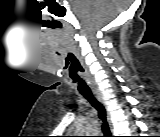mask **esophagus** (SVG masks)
Wrapping results in <instances>:
<instances>
[{"label": "esophagus", "instance_id": "esophagus-1", "mask_svg": "<svg viewBox=\"0 0 160 137\" xmlns=\"http://www.w3.org/2000/svg\"><path fill=\"white\" fill-rule=\"evenodd\" d=\"M94 94H95L97 100H98L104 107H106L101 93L95 92ZM107 121H108L109 127L112 128V124H111L110 116H109V113H108V112H107Z\"/></svg>", "mask_w": 160, "mask_h": 137}]
</instances>
